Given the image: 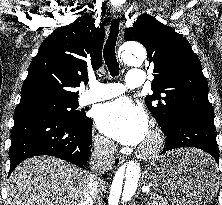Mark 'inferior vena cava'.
<instances>
[{"label":"inferior vena cava","mask_w":222,"mask_h":205,"mask_svg":"<svg viewBox=\"0 0 222 205\" xmlns=\"http://www.w3.org/2000/svg\"><path fill=\"white\" fill-rule=\"evenodd\" d=\"M115 145L108 139L100 138L94 142V151L90 159V169L88 182L83 190L80 205H93L98 193V174H104L111 169Z\"/></svg>","instance_id":"602c4592"}]
</instances>
